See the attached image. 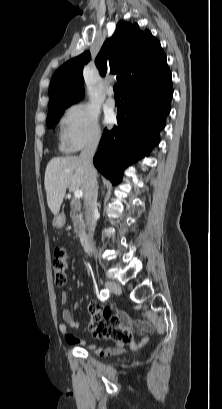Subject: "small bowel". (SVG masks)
I'll use <instances>...</instances> for the list:
<instances>
[{
  "label": "small bowel",
  "mask_w": 222,
  "mask_h": 409,
  "mask_svg": "<svg viewBox=\"0 0 222 409\" xmlns=\"http://www.w3.org/2000/svg\"><path fill=\"white\" fill-rule=\"evenodd\" d=\"M61 304L66 306L69 301V295L66 292L61 294ZM97 306V305H94ZM79 305L75 304L74 308H78ZM113 318L119 321L120 327L124 329L130 336L126 343H117L113 347H91L92 351L99 356H108L114 354H121L125 352V345H129L132 349L142 347L147 341L148 337H144L140 341H134L132 334H147L150 331V324L141 320H132L129 316L121 311H114ZM63 322L59 324L58 328L64 336L66 342L70 345H78L83 343V340L76 337L69 330H76L79 328V322L73 317L70 308L65 307L62 311Z\"/></svg>",
  "instance_id": "c3829d8e"
}]
</instances>
